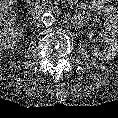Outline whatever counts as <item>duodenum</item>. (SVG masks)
Returning <instances> with one entry per match:
<instances>
[{
  "label": "duodenum",
  "mask_w": 118,
  "mask_h": 118,
  "mask_svg": "<svg viewBox=\"0 0 118 118\" xmlns=\"http://www.w3.org/2000/svg\"><path fill=\"white\" fill-rule=\"evenodd\" d=\"M32 1V0H31ZM36 0H34L33 2H35ZM45 10H46V7L44 6V5H42V4H37L36 6H35V13L36 14H38V15H41V14H43L44 12H45ZM76 22L78 23V24H82L83 23V21H82V19L80 18V17H77L76 18Z\"/></svg>",
  "instance_id": "obj_1"
}]
</instances>
